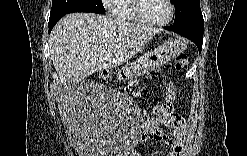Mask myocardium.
<instances>
[{
  "label": "myocardium",
  "mask_w": 247,
  "mask_h": 156,
  "mask_svg": "<svg viewBox=\"0 0 247 156\" xmlns=\"http://www.w3.org/2000/svg\"><path fill=\"white\" fill-rule=\"evenodd\" d=\"M164 1L169 8V15L164 20H152V19L145 17L144 14L142 13V7H141L142 3L144 1H141V0L134 1V3H133L134 14L137 17V19L139 20V22H141L145 25H148V26H165L173 20L175 10H174V6L170 0H164Z\"/></svg>",
  "instance_id": "myocardium-1"
}]
</instances>
